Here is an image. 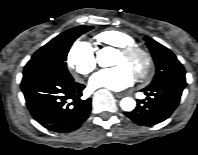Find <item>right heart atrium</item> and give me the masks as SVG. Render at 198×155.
I'll use <instances>...</instances> for the list:
<instances>
[{
	"mask_svg": "<svg viewBox=\"0 0 198 155\" xmlns=\"http://www.w3.org/2000/svg\"><path fill=\"white\" fill-rule=\"evenodd\" d=\"M67 64L75 74H90L96 67L94 49L86 41L75 42L68 51Z\"/></svg>",
	"mask_w": 198,
	"mask_h": 155,
	"instance_id": "right-heart-atrium-1",
	"label": "right heart atrium"
}]
</instances>
